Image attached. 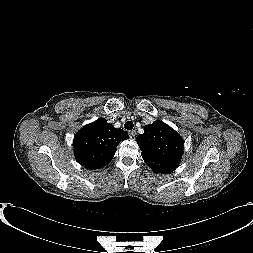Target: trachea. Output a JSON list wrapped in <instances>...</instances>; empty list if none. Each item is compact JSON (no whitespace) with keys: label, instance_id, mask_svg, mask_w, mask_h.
<instances>
[{"label":"trachea","instance_id":"trachea-1","mask_svg":"<svg viewBox=\"0 0 253 253\" xmlns=\"http://www.w3.org/2000/svg\"><path fill=\"white\" fill-rule=\"evenodd\" d=\"M134 127V124L132 121H127L125 124H124V128L127 129V130H132Z\"/></svg>","mask_w":253,"mask_h":253}]
</instances>
